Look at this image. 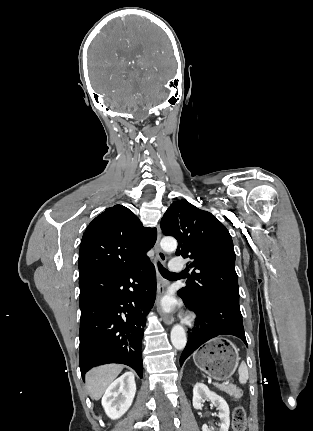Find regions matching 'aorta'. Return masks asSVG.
Instances as JSON below:
<instances>
[{
    "label": "aorta",
    "mask_w": 313,
    "mask_h": 431,
    "mask_svg": "<svg viewBox=\"0 0 313 431\" xmlns=\"http://www.w3.org/2000/svg\"><path fill=\"white\" fill-rule=\"evenodd\" d=\"M160 245L164 251L172 252V251H175L177 248V241L172 237H165L161 240ZM170 337H171L172 345L177 350H182L185 348L187 343V337H186L185 330L182 326L178 324L173 326Z\"/></svg>",
    "instance_id": "aorta-1"
}]
</instances>
